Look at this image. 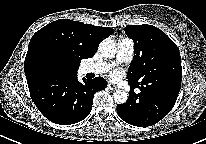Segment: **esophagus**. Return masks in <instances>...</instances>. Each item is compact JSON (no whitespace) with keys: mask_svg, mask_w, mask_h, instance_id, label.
Returning a JSON list of instances; mask_svg holds the SVG:
<instances>
[{"mask_svg":"<svg viewBox=\"0 0 206 144\" xmlns=\"http://www.w3.org/2000/svg\"><path fill=\"white\" fill-rule=\"evenodd\" d=\"M108 88H110L111 90H114L117 88V86L113 83H108Z\"/></svg>","mask_w":206,"mask_h":144,"instance_id":"esophagus-1","label":"esophagus"}]
</instances>
